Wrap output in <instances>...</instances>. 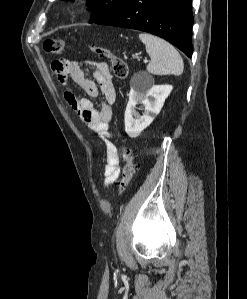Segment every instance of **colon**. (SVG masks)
<instances>
[{
    "instance_id": "5ec220e1",
    "label": "colon",
    "mask_w": 247,
    "mask_h": 299,
    "mask_svg": "<svg viewBox=\"0 0 247 299\" xmlns=\"http://www.w3.org/2000/svg\"><path fill=\"white\" fill-rule=\"evenodd\" d=\"M65 43L59 38H48L44 41L43 47L47 53L61 54L64 50ZM90 50L99 57L107 58L111 63L112 74L119 79H126L129 74V67L127 62L121 57L115 55L111 50L91 45ZM121 156L124 161L122 177L117 183L119 193H123L131 184L133 176L136 172L137 166L134 162V153L132 149L126 145L121 146Z\"/></svg>"
}]
</instances>
